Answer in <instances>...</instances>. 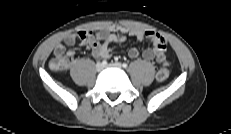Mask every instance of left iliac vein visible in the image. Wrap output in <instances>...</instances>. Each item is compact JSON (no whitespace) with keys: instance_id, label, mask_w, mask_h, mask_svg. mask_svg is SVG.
Returning a JSON list of instances; mask_svg holds the SVG:
<instances>
[{"instance_id":"obj_1","label":"left iliac vein","mask_w":231,"mask_h":134,"mask_svg":"<svg viewBox=\"0 0 231 134\" xmlns=\"http://www.w3.org/2000/svg\"><path fill=\"white\" fill-rule=\"evenodd\" d=\"M106 67L107 68H118V69H120V68H122V65L117 62V63H110Z\"/></svg>"}]
</instances>
